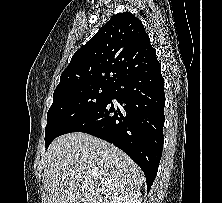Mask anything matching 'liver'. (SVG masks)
Masks as SVG:
<instances>
[{
	"label": "liver",
	"instance_id": "obj_1",
	"mask_svg": "<svg viewBox=\"0 0 222 203\" xmlns=\"http://www.w3.org/2000/svg\"><path fill=\"white\" fill-rule=\"evenodd\" d=\"M143 180L142 170L125 152L86 133L59 136L45 154L49 203H114L138 191Z\"/></svg>",
	"mask_w": 222,
	"mask_h": 203
}]
</instances>
